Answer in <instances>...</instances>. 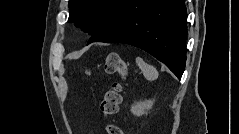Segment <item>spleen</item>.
I'll return each instance as SVG.
<instances>
[{
  "mask_svg": "<svg viewBox=\"0 0 239 134\" xmlns=\"http://www.w3.org/2000/svg\"><path fill=\"white\" fill-rule=\"evenodd\" d=\"M136 63L141 69V71L143 72V75L147 80L153 81L158 78L157 70L153 66L147 64L142 58L137 57Z\"/></svg>",
  "mask_w": 239,
  "mask_h": 134,
  "instance_id": "spleen-1",
  "label": "spleen"
}]
</instances>
